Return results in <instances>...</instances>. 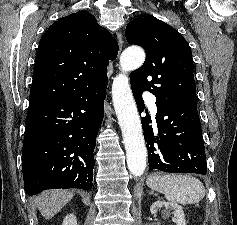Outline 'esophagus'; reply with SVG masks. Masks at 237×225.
Here are the masks:
<instances>
[{
	"mask_svg": "<svg viewBox=\"0 0 237 225\" xmlns=\"http://www.w3.org/2000/svg\"><path fill=\"white\" fill-rule=\"evenodd\" d=\"M117 42H118V45H119V53H120L121 50H122V47H123V36L120 32L117 33Z\"/></svg>",
	"mask_w": 237,
	"mask_h": 225,
	"instance_id": "esophagus-1",
	"label": "esophagus"
}]
</instances>
